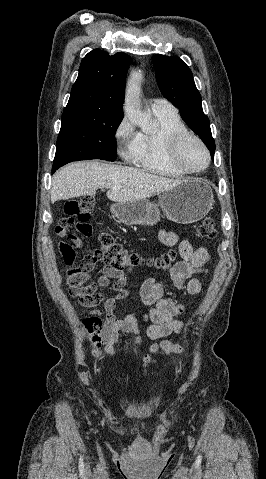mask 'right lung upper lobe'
<instances>
[{"label":"right lung upper lobe","instance_id":"obj_1","mask_svg":"<svg viewBox=\"0 0 266 479\" xmlns=\"http://www.w3.org/2000/svg\"><path fill=\"white\" fill-rule=\"evenodd\" d=\"M130 62L124 52L112 56L100 49L89 52L81 62L62 115L124 116L122 104Z\"/></svg>","mask_w":266,"mask_h":479}]
</instances>
